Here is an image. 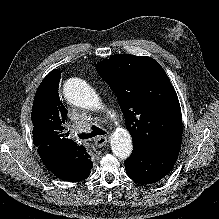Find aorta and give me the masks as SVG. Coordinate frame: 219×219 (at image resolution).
<instances>
[{
    "instance_id": "762f6f07",
    "label": "aorta",
    "mask_w": 219,
    "mask_h": 219,
    "mask_svg": "<svg viewBox=\"0 0 219 219\" xmlns=\"http://www.w3.org/2000/svg\"><path fill=\"white\" fill-rule=\"evenodd\" d=\"M63 93L66 100L77 107L93 110L102 108L95 90L81 79H69L64 84ZM110 142L113 154L119 159L125 160L131 155L133 144L127 129L116 128Z\"/></svg>"
}]
</instances>
